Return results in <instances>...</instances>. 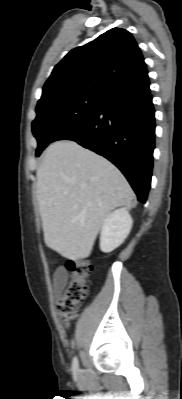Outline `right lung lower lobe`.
Masks as SVG:
<instances>
[{
	"label": "right lung lower lobe",
	"instance_id": "obj_1",
	"mask_svg": "<svg viewBox=\"0 0 182 399\" xmlns=\"http://www.w3.org/2000/svg\"><path fill=\"white\" fill-rule=\"evenodd\" d=\"M149 79L114 90L89 117L58 132L53 141L72 140L115 164L138 201L145 203L151 184L155 117Z\"/></svg>",
	"mask_w": 182,
	"mask_h": 399
}]
</instances>
